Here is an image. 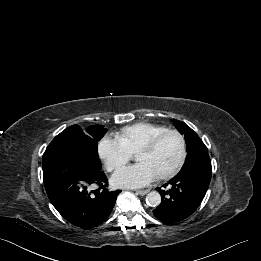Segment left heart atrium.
I'll return each mask as SVG.
<instances>
[{"label":"left heart atrium","instance_id":"39dd6f15","mask_svg":"<svg viewBox=\"0 0 261 261\" xmlns=\"http://www.w3.org/2000/svg\"><path fill=\"white\" fill-rule=\"evenodd\" d=\"M156 178L157 176L145 164L138 162L115 173L111 183L119 188H140L149 185Z\"/></svg>","mask_w":261,"mask_h":261}]
</instances>
